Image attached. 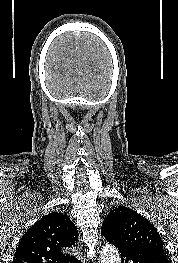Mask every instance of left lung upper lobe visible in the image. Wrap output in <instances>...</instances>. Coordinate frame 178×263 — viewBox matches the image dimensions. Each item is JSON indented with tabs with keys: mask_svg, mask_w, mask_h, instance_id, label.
<instances>
[{
	"mask_svg": "<svg viewBox=\"0 0 178 263\" xmlns=\"http://www.w3.org/2000/svg\"><path fill=\"white\" fill-rule=\"evenodd\" d=\"M102 231L109 232L120 242L164 254L163 242L154 225L127 207L118 206L111 210L102 224Z\"/></svg>",
	"mask_w": 178,
	"mask_h": 263,
	"instance_id": "1",
	"label": "left lung upper lobe"
}]
</instances>
